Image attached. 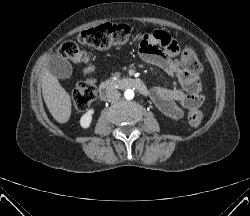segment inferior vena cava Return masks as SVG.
Segmentation results:
<instances>
[{
    "mask_svg": "<svg viewBox=\"0 0 250 216\" xmlns=\"http://www.w3.org/2000/svg\"><path fill=\"white\" fill-rule=\"evenodd\" d=\"M120 97L121 93L118 90H112L107 94V100L111 103L118 101Z\"/></svg>",
    "mask_w": 250,
    "mask_h": 216,
    "instance_id": "inferior-vena-cava-1",
    "label": "inferior vena cava"
}]
</instances>
